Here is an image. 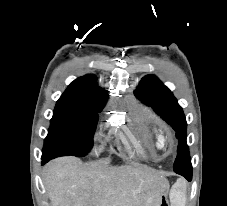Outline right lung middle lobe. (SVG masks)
<instances>
[{"label":"right lung middle lobe","mask_w":227,"mask_h":206,"mask_svg":"<svg viewBox=\"0 0 227 206\" xmlns=\"http://www.w3.org/2000/svg\"><path fill=\"white\" fill-rule=\"evenodd\" d=\"M104 98L61 97L54 110L43 156H85L93 146L98 113L106 103Z\"/></svg>","instance_id":"obj_1"}]
</instances>
